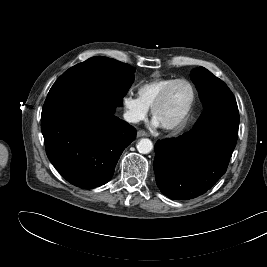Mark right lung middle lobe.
I'll return each mask as SVG.
<instances>
[{
  "instance_id": "obj_1",
  "label": "right lung middle lobe",
  "mask_w": 267,
  "mask_h": 267,
  "mask_svg": "<svg viewBox=\"0 0 267 267\" xmlns=\"http://www.w3.org/2000/svg\"><path fill=\"white\" fill-rule=\"evenodd\" d=\"M135 69L107 57H92L63 73L51 87L43 108L72 96H88L122 106Z\"/></svg>"
}]
</instances>
